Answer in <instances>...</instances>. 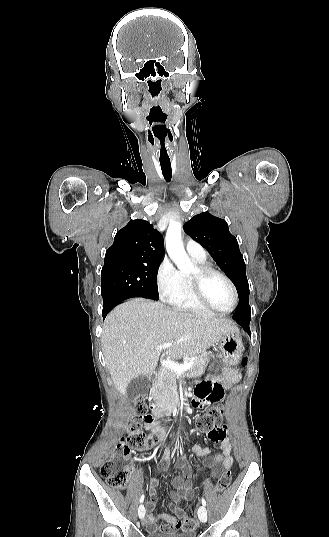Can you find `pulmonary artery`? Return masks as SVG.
<instances>
[{
	"instance_id": "e3ab8cb5",
	"label": "pulmonary artery",
	"mask_w": 329,
	"mask_h": 537,
	"mask_svg": "<svg viewBox=\"0 0 329 537\" xmlns=\"http://www.w3.org/2000/svg\"><path fill=\"white\" fill-rule=\"evenodd\" d=\"M185 249L192 257L197 259H205L206 253L204 248L194 240H188L185 244Z\"/></svg>"
}]
</instances>
